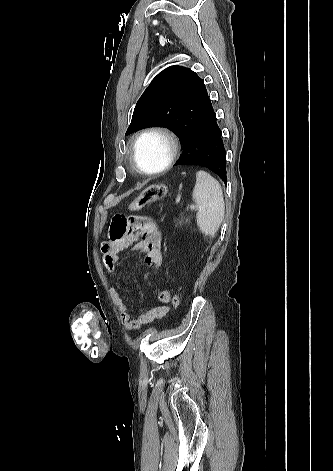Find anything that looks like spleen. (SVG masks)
Wrapping results in <instances>:
<instances>
[{
  "label": "spleen",
  "mask_w": 333,
  "mask_h": 471,
  "mask_svg": "<svg viewBox=\"0 0 333 471\" xmlns=\"http://www.w3.org/2000/svg\"><path fill=\"white\" fill-rule=\"evenodd\" d=\"M192 196L198 206L197 225L200 231L206 236L214 237L225 214L219 182L206 171L199 170Z\"/></svg>",
  "instance_id": "3e777b00"
}]
</instances>
